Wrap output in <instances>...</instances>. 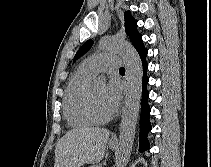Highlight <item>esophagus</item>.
I'll return each instance as SVG.
<instances>
[{
    "label": "esophagus",
    "mask_w": 211,
    "mask_h": 167,
    "mask_svg": "<svg viewBox=\"0 0 211 167\" xmlns=\"http://www.w3.org/2000/svg\"><path fill=\"white\" fill-rule=\"evenodd\" d=\"M111 140H112V141H117V136L114 134V135L111 137Z\"/></svg>",
    "instance_id": "esophagus-1"
}]
</instances>
